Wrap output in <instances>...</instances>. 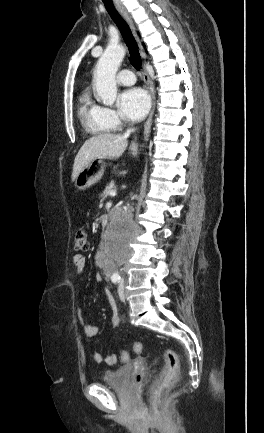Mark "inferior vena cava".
I'll return each instance as SVG.
<instances>
[{"mask_svg":"<svg viewBox=\"0 0 264 433\" xmlns=\"http://www.w3.org/2000/svg\"><path fill=\"white\" fill-rule=\"evenodd\" d=\"M133 131H134V129H128L126 134H130ZM115 252H127V251H115Z\"/></svg>","mask_w":264,"mask_h":433,"instance_id":"1","label":"inferior vena cava"}]
</instances>
